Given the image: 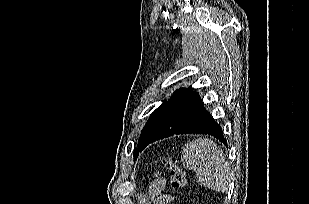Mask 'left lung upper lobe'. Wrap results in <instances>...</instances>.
I'll return each mask as SVG.
<instances>
[{
  "mask_svg": "<svg viewBox=\"0 0 309 204\" xmlns=\"http://www.w3.org/2000/svg\"><path fill=\"white\" fill-rule=\"evenodd\" d=\"M192 93V89H179L174 93V96L168 100L163 102L150 116L149 120L147 121L146 125L141 131L140 139L138 141V148L134 151V158L136 159L138 152L140 151V146L142 144V141L144 137L146 136L149 129L152 127V125L155 123V121L159 118V116L165 112L172 104L179 101L180 99L184 98L185 96Z\"/></svg>",
  "mask_w": 309,
  "mask_h": 204,
  "instance_id": "left-lung-upper-lobe-1",
  "label": "left lung upper lobe"
}]
</instances>
